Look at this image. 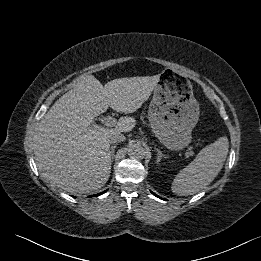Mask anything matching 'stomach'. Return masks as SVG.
Here are the masks:
<instances>
[{"instance_id": "1", "label": "stomach", "mask_w": 261, "mask_h": 261, "mask_svg": "<svg viewBox=\"0 0 261 261\" xmlns=\"http://www.w3.org/2000/svg\"><path fill=\"white\" fill-rule=\"evenodd\" d=\"M199 113L190 80L171 68L163 70L148 109L150 127L159 141L171 150L186 147Z\"/></svg>"}]
</instances>
